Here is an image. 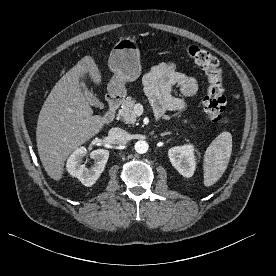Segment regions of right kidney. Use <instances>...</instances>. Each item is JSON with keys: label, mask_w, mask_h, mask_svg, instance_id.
<instances>
[{"label": "right kidney", "mask_w": 276, "mask_h": 276, "mask_svg": "<svg viewBox=\"0 0 276 276\" xmlns=\"http://www.w3.org/2000/svg\"><path fill=\"white\" fill-rule=\"evenodd\" d=\"M87 154L85 147L77 148L67 160V171L73 177L85 186L90 187L96 183L101 173L105 169V165L109 158V151L106 149H97L91 152V157L94 159V164L87 168L82 164L83 157Z\"/></svg>", "instance_id": "ca27d5eb"}]
</instances>
